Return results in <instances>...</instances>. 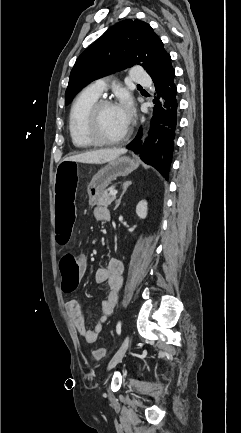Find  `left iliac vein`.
<instances>
[{
    "label": "left iliac vein",
    "mask_w": 241,
    "mask_h": 433,
    "mask_svg": "<svg viewBox=\"0 0 241 433\" xmlns=\"http://www.w3.org/2000/svg\"><path fill=\"white\" fill-rule=\"evenodd\" d=\"M129 340H130L129 335H126L121 347L119 348V350L116 352V354L110 360V362L108 364V370L115 367L122 360V358L124 357V355L128 349Z\"/></svg>",
    "instance_id": "4c4485c4"
}]
</instances>
